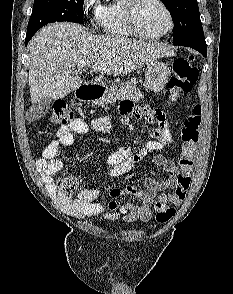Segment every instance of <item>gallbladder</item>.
Segmentation results:
<instances>
[{"label": "gallbladder", "mask_w": 233, "mask_h": 294, "mask_svg": "<svg viewBox=\"0 0 233 294\" xmlns=\"http://www.w3.org/2000/svg\"><path fill=\"white\" fill-rule=\"evenodd\" d=\"M51 105V99H42L32 106L29 116L31 118H39L50 110Z\"/></svg>", "instance_id": "gallbladder-1"}]
</instances>
